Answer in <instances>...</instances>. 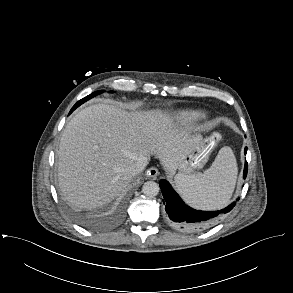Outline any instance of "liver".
I'll return each mask as SVG.
<instances>
[{"label": "liver", "instance_id": "1", "mask_svg": "<svg viewBox=\"0 0 293 293\" xmlns=\"http://www.w3.org/2000/svg\"><path fill=\"white\" fill-rule=\"evenodd\" d=\"M202 140L161 110L127 112L96 104L79 111L65 127L59 145L58 181L65 199L78 208L102 206L133 179L130 167L156 155L175 173Z\"/></svg>", "mask_w": 293, "mask_h": 293}]
</instances>
